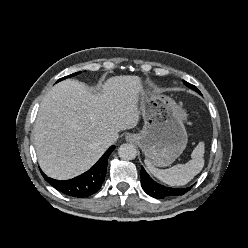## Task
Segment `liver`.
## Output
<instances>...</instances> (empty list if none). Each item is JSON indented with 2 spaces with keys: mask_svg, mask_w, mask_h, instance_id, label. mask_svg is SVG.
<instances>
[{
  "mask_svg": "<svg viewBox=\"0 0 248 248\" xmlns=\"http://www.w3.org/2000/svg\"><path fill=\"white\" fill-rule=\"evenodd\" d=\"M141 85L134 75L109 78L93 94L79 81L56 84L43 98L33 138L42 170L66 180L91 168L107 150V136L137 126Z\"/></svg>",
  "mask_w": 248,
  "mask_h": 248,
  "instance_id": "6515ba94",
  "label": "liver"
}]
</instances>
